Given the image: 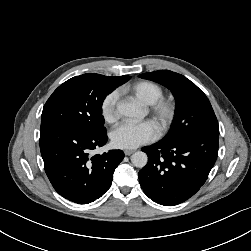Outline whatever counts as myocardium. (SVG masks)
<instances>
[{
    "label": "myocardium",
    "mask_w": 251,
    "mask_h": 251,
    "mask_svg": "<svg viewBox=\"0 0 251 251\" xmlns=\"http://www.w3.org/2000/svg\"><path fill=\"white\" fill-rule=\"evenodd\" d=\"M148 111L156 122L158 129L164 132L174 121L176 116V104L171 99L162 97L150 104Z\"/></svg>",
    "instance_id": "myocardium-1"
}]
</instances>
